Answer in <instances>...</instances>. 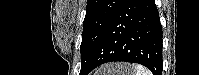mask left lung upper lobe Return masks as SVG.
Masks as SVG:
<instances>
[{
  "mask_svg": "<svg viewBox=\"0 0 199 75\" xmlns=\"http://www.w3.org/2000/svg\"><path fill=\"white\" fill-rule=\"evenodd\" d=\"M123 0H88L82 32L81 70L88 67L104 32Z\"/></svg>",
  "mask_w": 199,
  "mask_h": 75,
  "instance_id": "obj_1",
  "label": "left lung upper lobe"
}]
</instances>
